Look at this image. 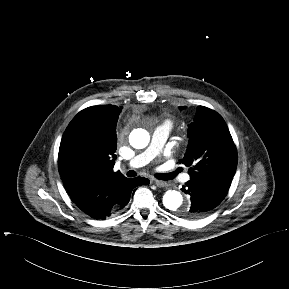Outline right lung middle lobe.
<instances>
[{
	"instance_id": "obj_1",
	"label": "right lung middle lobe",
	"mask_w": 289,
	"mask_h": 289,
	"mask_svg": "<svg viewBox=\"0 0 289 289\" xmlns=\"http://www.w3.org/2000/svg\"><path fill=\"white\" fill-rule=\"evenodd\" d=\"M112 121H117L116 118L112 117L111 118ZM106 133V130L104 128H100V129H97V128H93L92 131L90 132V135H89V139L93 142H100L102 141V139L104 138V135Z\"/></svg>"
}]
</instances>
